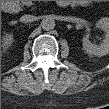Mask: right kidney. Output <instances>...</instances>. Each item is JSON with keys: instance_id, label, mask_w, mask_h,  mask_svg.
<instances>
[{"instance_id": "ca27d5eb", "label": "right kidney", "mask_w": 109, "mask_h": 109, "mask_svg": "<svg viewBox=\"0 0 109 109\" xmlns=\"http://www.w3.org/2000/svg\"><path fill=\"white\" fill-rule=\"evenodd\" d=\"M13 42V36L11 34H6L2 39V47L7 49Z\"/></svg>"}]
</instances>
